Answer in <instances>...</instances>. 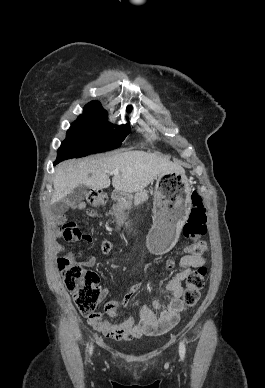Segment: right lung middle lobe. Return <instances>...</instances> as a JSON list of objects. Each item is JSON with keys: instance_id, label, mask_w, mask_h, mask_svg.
Instances as JSON below:
<instances>
[{"instance_id": "right-lung-middle-lobe-1", "label": "right lung middle lobe", "mask_w": 265, "mask_h": 388, "mask_svg": "<svg viewBox=\"0 0 265 388\" xmlns=\"http://www.w3.org/2000/svg\"><path fill=\"white\" fill-rule=\"evenodd\" d=\"M128 112L131 107H128ZM107 120V112L97 101L88 103L82 115L71 124L66 139L58 149V159L84 157L118 148L130 132V124L117 126Z\"/></svg>"}]
</instances>
